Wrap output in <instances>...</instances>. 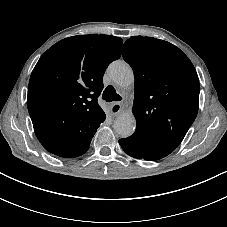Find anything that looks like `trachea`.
Returning a JSON list of instances; mask_svg holds the SVG:
<instances>
[{
    "label": "trachea",
    "instance_id": "1",
    "mask_svg": "<svg viewBox=\"0 0 227 227\" xmlns=\"http://www.w3.org/2000/svg\"><path fill=\"white\" fill-rule=\"evenodd\" d=\"M102 99L107 102H112L121 101L122 97L116 93V90L112 86H108L103 92Z\"/></svg>",
    "mask_w": 227,
    "mask_h": 227
}]
</instances>
